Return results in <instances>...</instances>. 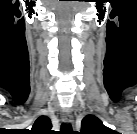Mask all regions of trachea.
<instances>
[{"instance_id": "3493384b", "label": "trachea", "mask_w": 137, "mask_h": 134, "mask_svg": "<svg viewBox=\"0 0 137 134\" xmlns=\"http://www.w3.org/2000/svg\"><path fill=\"white\" fill-rule=\"evenodd\" d=\"M61 130H62V132H71L72 131V127H71L70 124L62 123Z\"/></svg>"}]
</instances>
